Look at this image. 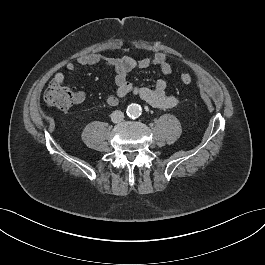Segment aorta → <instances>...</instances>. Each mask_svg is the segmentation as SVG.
<instances>
[{
    "label": "aorta",
    "mask_w": 265,
    "mask_h": 265,
    "mask_svg": "<svg viewBox=\"0 0 265 265\" xmlns=\"http://www.w3.org/2000/svg\"><path fill=\"white\" fill-rule=\"evenodd\" d=\"M126 113H127L128 117L135 119L141 115L142 109H141L140 105L132 103V104L128 105Z\"/></svg>",
    "instance_id": "obj_1"
}]
</instances>
